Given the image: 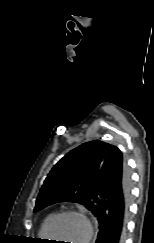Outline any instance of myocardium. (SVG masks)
Here are the masks:
<instances>
[{
	"mask_svg": "<svg viewBox=\"0 0 154 243\" xmlns=\"http://www.w3.org/2000/svg\"><path fill=\"white\" fill-rule=\"evenodd\" d=\"M64 216H76V217L81 218L84 221L85 235H84V238L81 243H89V241L91 240V238L93 236L92 223L85 213L78 211V210H72V209L62 210L60 212H57L50 218V220L48 221L47 226H46V236L51 237V229H52L53 224L56 222L57 219L64 217Z\"/></svg>",
	"mask_w": 154,
	"mask_h": 243,
	"instance_id": "myocardium-1",
	"label": "myocardium"
}]
</instances>
